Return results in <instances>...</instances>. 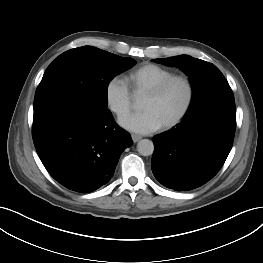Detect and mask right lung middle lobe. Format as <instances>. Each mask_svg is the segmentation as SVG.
<instances>
[{
    "label": "right lung middle lobe",
    "mask_w": 263,
    "mask_h": 263,
    "mask_svg": "<svg viewBox=\"0 0 263 263\" xmlns=\"http://www.w3.org/2000/svg\"><path fill=\"white\" fill-rule=\"evenodd\" d=\"M135 64L107 51L83 46L68 50L47 67L36 90L34 109L58 101H76L107 112L110 81Z\"/></svg>",
    "instance_id": "1"
}]
</instances>
